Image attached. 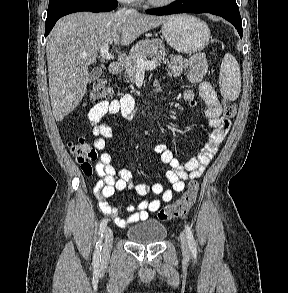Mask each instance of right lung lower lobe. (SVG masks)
Wrapping results in <instances>:
<instances>
[{
  "mask_svg": "<svg viewBox=\"0 0 288 293\" xmlns=\"http://www.w3.org/2000/svg\"><path fill=\"white\" fill-rule=\"evenodd\" d=\"M117 6L118 3L100 4L91 1H79L64 5L50 13H47L45 36L50 33L57 20L62 16L80 11L108 12L115 9Z\"/></svg>",
  "mask_w": 288,
  "mask_h": 293,
  "instance_id": "1",
  "label": "right lung lower lobe"
}]
</instances>
